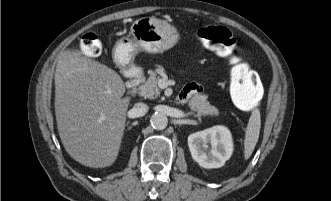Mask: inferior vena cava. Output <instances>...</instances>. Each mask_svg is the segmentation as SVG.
<instances>
[{
    "mask_svg": "<svg viewBox=\"0 0 331 201\" xmlns=\"http://www.w3.org/2000/svg\"><path fill=\"white\" fill-rule=\"evenodd\" d=\"M148 112V106L143 102L135 103L130 110L132 117H142Z\"/></svg>",
    "mask_w": 331,
    "mask_h": 201,
    "instance_id": "1",
    "label": "inferior vena cava"
}]
</instances>
